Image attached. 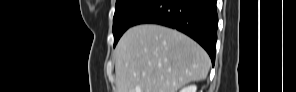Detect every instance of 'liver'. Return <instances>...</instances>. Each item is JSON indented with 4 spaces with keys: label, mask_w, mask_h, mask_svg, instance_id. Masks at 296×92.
<instances>
[{
    "label": "liver",
    "mask_w": 296,
    "mask_h": 92,
    "mask_svg": "<svg viewBox=\"0 0 296 92\" xmlns=\"http://www.w3.org/2000/svg\"><path fill=\"white\" fill-rule=\"evenodd\" d=\"M115 59L117 92H177L189 82L204 80L211 64L191 38L154 24L128 29Z\"/></svg>",
    "instance_id": "liver-1"
}]
</instances>
